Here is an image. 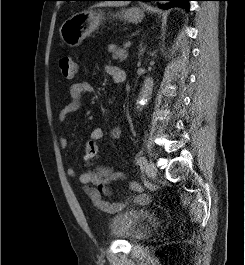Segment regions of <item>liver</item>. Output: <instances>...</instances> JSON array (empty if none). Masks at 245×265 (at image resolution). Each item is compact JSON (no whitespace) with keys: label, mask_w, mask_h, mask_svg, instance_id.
Returning <instances> with one entry per match:
<instances>
[{"label":"liver","mask_w":245,"mask_h":265,"mask_svg":"<svg viewBox=\"0 0 245 265\" xmlns=\"http://www.w3.org/2000/svg\"><path fill=\"white\" fill-rule=\"evenodd\" d=\"M126 3L123 2H104V3H100L98 4L99 6H123Z\"/></svg>","instance_id":"6515ba94"}]
</instances>
